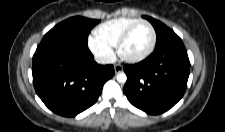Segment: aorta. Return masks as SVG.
Returning a JSON list of instances; mask_svg holds the SVG:
<instances>
[{"label":"aorta","instance_id":"obj_1","mask_svg":"<svg viewBox=\"0 0 225 132\" xmlns=\"http://www.w3.org/2000/svg\"><path fill=\"white\" fill-rule=\"evenodd\" d=\"M116 80L119 82V83H125L126 80H127V76L124 72H119L116 76Z\"/></svg>","mask_w":225,"mask_h":132}]
</instances>
